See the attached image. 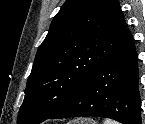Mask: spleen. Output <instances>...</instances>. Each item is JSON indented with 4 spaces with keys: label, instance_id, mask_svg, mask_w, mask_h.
Instances as JSON below:
<instances>
[{
    "label": "spleen",
    "instance_id": "obj_1",
    "mask_svg": "<svg viewBox=\"0 0 145 124\" xmlns=\"http://www.w3.org/2000/svg\"><path fill=\"white\" fill-rule=\"evenodd\" d=\"M104 124H118V123L107 119L105 120Z\"/></svg>",
    "mask_w": 145,
    "mask_h": 124
}]
</instances>
